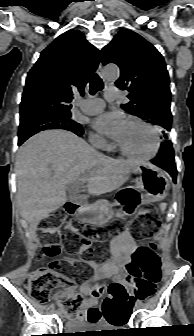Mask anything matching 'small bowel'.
Masks as SVG:
<instances>
[{
	"mask_svg": "<svg viewBox=\"0 0 194 336\" xmlns=\"http://www.w3.org/2000/svg\"><path fill=\"white\" fill-rule=\"evenodd\" d=\"M137 245L133 240L129 231H123L115 236L110 243V256L103 263H92L93 268L92 276L83 282L77 289L60 290L56 294L57 300L63 299L69 295L80 293L87 298L82 303V310L75 321L85 322L92 326H96L102 320L99 308H97V298L92 294L93 289L100 285L104 280L111 277H117L120 270L129 267L137 252ZM156 264L161 276V264L156 257ZM148 284L143 283L138 279L134 286H128V292L133 296L141 291H150ZM133 303V302H132Z\"/></svg>",
	"mask_w": 194,
	"mask_h": 336,
	"instance_id": "small-bowel-1",
	"label": "small bowel"
}]
</instances>
